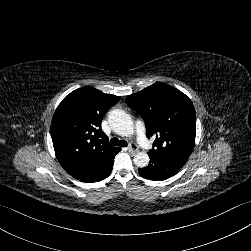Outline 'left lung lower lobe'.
Wrapping results in <instances>:
<instances>
[{"label":"left lung lower lobe","instance_id":"left-lung-lower-lobe-1","mask_svg":"<svg viewBox=\"0 0 251 251\" xmlns=\"http://www.w3.org/2000/svg\"><path fill=\"white\" fill-rule=\"evenodd\" d=\"M150 162L148 166L139 168V174L150 180H165L175 175L182 167L183 163L176 160L167 159L163 156L148 152Z\"/></svg>","mask_w":251,"mask_h":251}]
</instances>
